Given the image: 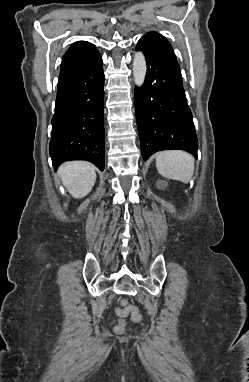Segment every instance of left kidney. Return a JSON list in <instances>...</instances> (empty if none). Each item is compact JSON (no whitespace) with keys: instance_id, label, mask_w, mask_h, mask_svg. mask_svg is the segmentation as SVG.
I'll use <instances>...</instances> for the list:
<instances>
[{"instance_id":"1","label":"left kidney","mask_w":249,"mask_h":382,"mask_svg":"<svg viewBox=\"0 0 249 382\" xmlns=\"http://www.w3.org/2000/svg\"><path fill=\"white\" fill-rule=\"evenodd\" d=\"M156 185L159 189H164L167 187V183L165 181H162V180H158L156 182Z\"/></svg>"}]
</instances>
